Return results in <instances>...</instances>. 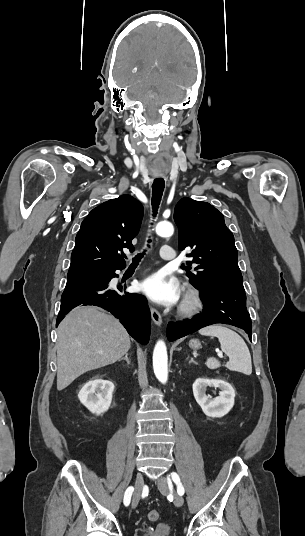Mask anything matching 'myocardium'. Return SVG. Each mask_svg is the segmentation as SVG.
<instances>
[{"label": "myocardium", "mask_w": 305, "mask_h": 536, "mask_svg": "<svg viewBox=\"0 0 305 536\" xmlns=\"http://www.w3.org/2000/svg\"><path fill=\"white\" fill-rule=\"evenodd\" d=\"M204 305L205 298L203 293L199 289L190 286L185 290L178 313L182 316H191L199 312Z\"/></svg>", "instance_id": "f54148a6"}]
</instances>
